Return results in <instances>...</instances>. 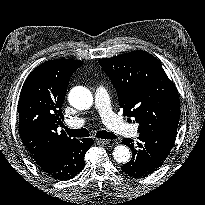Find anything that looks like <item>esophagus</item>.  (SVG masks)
I'll return each instance as SVG.
<instances>
[{
    "instance_id": "34e87169",
    "label": "esophagus",
    "mask_w": 205,
    "mask_h": 205,
    "mask_svg": "<svg viewBox=\"0 0 205 205\" xmlns=\"http://www.w3.org/2000/svg\"><path fill=\"white\" fill-rule=\"evenodd\" d=\"M96 141L98 143L105 144V145L110 143V140H106V139H96Z\"/></svg>"
}]
</instances>
